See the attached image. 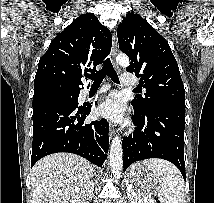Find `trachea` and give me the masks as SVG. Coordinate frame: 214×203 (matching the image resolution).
I'll return each instance as SVG.
<instances>
[{"mask_svg":"<svg viewBox=\"0 0 214 203\" xmlns=\"http://www.w3.org/2000/svg\"><path fill=\"white\" fill-rule=\"evenodd\" d=\"M106 75H108L113 82L117 84L120 83L118 75L114 70L109 58L105 60L103 68L98 73L90 75L89 78L94 81L93 86H99Z\"/></svg>","mask_w":214,"mask_h":203,"instance_id":"obj_1","label":"trachea"}]
</instances>
